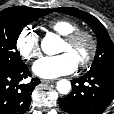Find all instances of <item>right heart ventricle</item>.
Returning <instances> with one entry per match:
<instances>
[{
    "label": "right heart ventricle",
    "instance_id": "e07e8e85",
    "mask_svg": "<svg viewBox=\"0 0 114 114\" xmlns=\"http://www.w3.org/2000/svg\"><path fill=\"white\" fill-rule=\"evenodd\" d=\"M48 27L54 32L65 36L78 29V24L70 19H55L48 23Z\"/></svg>",
    "mask_w": 114,
    "mask_h": 114
}]
</instances>
